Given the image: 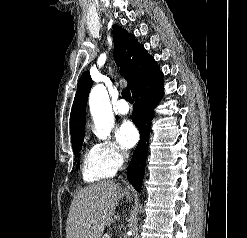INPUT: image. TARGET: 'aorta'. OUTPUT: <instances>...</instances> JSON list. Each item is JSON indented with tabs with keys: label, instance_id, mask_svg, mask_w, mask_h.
Here are the masks:
<instances>
[{
	"label": "aorta",
	"instance_id": "762f6f07",
	"mask_svg": "<svg viewBox=\"0 0 247 238\" xmlns=\"http://www.w3.org/2000/svg\"><path fill=\"white\" fill-rule=\"evenodd\" d=\"M90 112L95 124V135L105 140L110 136L114 125V116L106 88L96 85L89 96Z\"/></svg>",
	"mask_w": 247,
	"mask_h": 238
}]
</instances>
